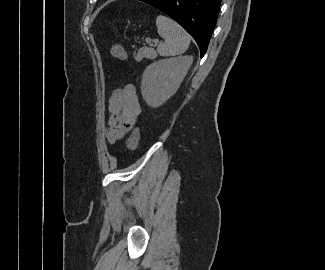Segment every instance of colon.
Instances as JSON below:
<instances>
[{
	"label": "colon",
	"instance_id": "obj_1",
	"mask_svg": "<svg viewBox=\"0 0 325 270\" xmlns=\"http://www.w3.org/2000/svg\"><path fill=\"white\" fill-rule=\"evenodd\" d=\"M110 54L113 58L126 61L128 59V55L126 50L121 45H113L110 49ZM140 139V128L136 127L127 140V147L129 150H134L138 146V142Z\"/></svg>",
	"mask_w": 325,
	"mask_h": 270
}]
</instances>
